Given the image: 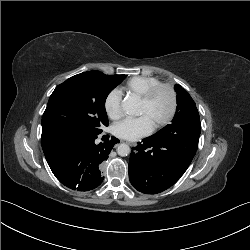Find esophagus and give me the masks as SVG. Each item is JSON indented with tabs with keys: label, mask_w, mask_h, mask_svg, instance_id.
Listing matches in <instances>:
<instances>
[{
	"label": "esophagus",
	"mask_w": 250,
	"mask_h": 250,
	"mask_svg": "<svg viewBox=\"0 0 250 250\" xmlns=\"http://www.w3.org/2000/svg\"><path fill=\"white\" fill-rule=\"evenodd\" d=\"M127 144L130 145V146H134V144H133V143H130V142H127Z\"/></svg>",
	"instance_id": "34e87169"
}]
</instances>
